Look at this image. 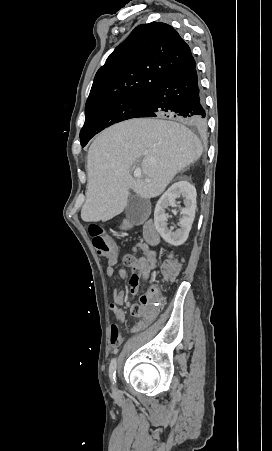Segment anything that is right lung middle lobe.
Here are the masks:
<instances>
[{
	"label": "right lung middle lobe",
	"instance_id": "1",
	"mask_svg": "<svg viewBox=\"0 0 272 451\" xmlns=\"http://www.w3.org/2000/svg\"><path fill=\"white\" fill-rule=\"evenodd\" d=\"M149 96L117 97L85 110V123L80 131L81 145L85 146L94 135L115 123L136 118L146 109Z\"/></svg>",
	"mask_w": 272,
	"mask_h": 451
}]
</instances>
